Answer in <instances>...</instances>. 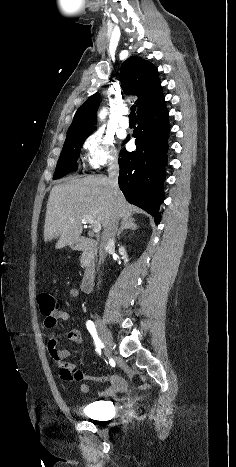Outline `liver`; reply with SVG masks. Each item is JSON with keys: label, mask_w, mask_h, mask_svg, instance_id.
<instances>
[{"label": "liver", "mask_w": 236, "mask_h": 467, "mask_svg": "<svg viewBox=\"0 0 236 467\" xmlns=\"http://www.w3.org/2000/svg\"><path fill=\"white\" fill-rule=\"evenodd\" d=\"M134 211L122 192L113 190L107 177L71 178L55 185L50 192L44 240L59 238L55 248L61 249L79 238L85 217H92L105 228L111 220L132 219Z\"/></svg>", "instance_id": "6515ba94"}]
</instances>
